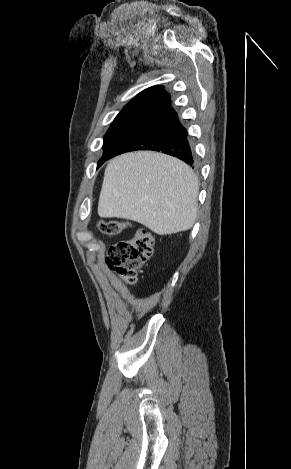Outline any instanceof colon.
Instances as JSON below:
<instances>
[{
  "label": "colon",
  "instance_id": "1",
  "mask_svg": "<svg viewBox=\"0 0 291 469\" xmlns=\"http://www.w3.org/2000/svg\"><path fill=\"white\" fill-rule=\"evenodd\" d=\"M100 231L109 236H117L126 228L127 223L118 220L101 221ZM154 238L147 228H139L129 239L113 244L107 253L106 263L127 284L137 281L138 271L148 262L153 253Z\"/></svg>",
  "mask_w": 291,
  "mask_h": 469
}]
</instances>
